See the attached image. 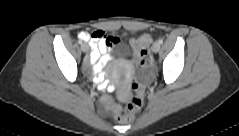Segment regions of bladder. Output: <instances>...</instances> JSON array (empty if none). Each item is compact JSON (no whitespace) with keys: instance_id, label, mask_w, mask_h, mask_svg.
<instances>
[{"instance_id":"1","label":"bladder","mask_w":239,"mask_h":136,"mask_svg":"<svg viewBox=\"0 0 239 136\" xmlns=\"http://www.w3.org/2000/svg\"><path fill=\"white\" fill-rule=\"evenodd\" d=\"M130 53V48L122 43L116 44V57L127 58Z\"/></svg>"}]
</instances>
